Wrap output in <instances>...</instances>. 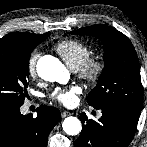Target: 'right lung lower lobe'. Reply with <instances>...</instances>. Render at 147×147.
Instances as JSON below:
<instances>
[{
	"label": "right lung lower lobe",
	"mask_w": 147,
	"mask_h": 147,
	"mask_svg": "<svg viewBox=\"0 0 147 147\" xmlns=\"http://www.w3.org/2000/svg\"><path fill=\"white\" fill-rule=\"evenodd\" d=\"M60 111L42 105L37 117L22 115L19 107L0 108V147H47V138L60 120Z\"/></svg>",
	"instance_id": "1"
}]
</instances>
